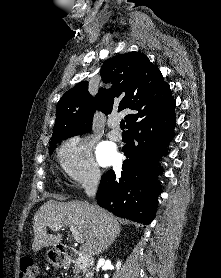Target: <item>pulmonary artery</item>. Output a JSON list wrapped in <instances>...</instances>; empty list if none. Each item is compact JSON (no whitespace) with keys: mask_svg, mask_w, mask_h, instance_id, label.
I'll return each mask as SVG.
<instances>
[{"mask_svg":"<svg viewBox=\"0 0 221 278\" xmlns=\"http://www.w3.org/2000/svg\"><path fill=\"white\" fill-rule=\"evenodd\" d=\"M109 126L111 127V131L109 132V137L115 141H119L121 139V132L117 128L116 121H111L109 123Z\"/></svg>","mask_w":221,"mask_h":278,"instance_id":"pulmonary-artery-1","label":"pulmonary artery"}]
</instances>
